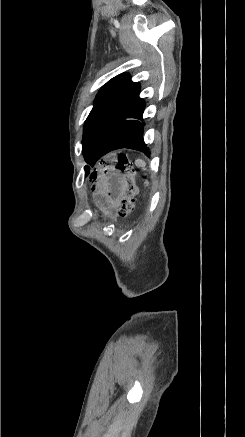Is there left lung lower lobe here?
<instances>
[{
  "label": "left lung lower lobe",
  "instance_id": "left-lung-lower-lobe-1",
  "mask_svg": "<svg viewBox=\"0 0 245 437\" xmlns=\"http://www.w3.org/2000/svg\"><path fill=\"white\" fill-rule=\"evenodd\" d=\"M144 108L145 102L139 98L138 94L125 114L111 129L98 154V160L106 153L119 148L135 149L149 155V149L143 141L141 121Z\"/></svg>",
  "mask_w": 245,
  "mask_h": 437
}]
</instances>
